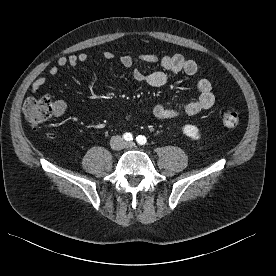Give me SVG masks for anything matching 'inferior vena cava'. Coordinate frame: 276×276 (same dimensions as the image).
<instances>
[{"instance_id":"inferior-vena-cava-1","label":"inferior vena cava","mask_w":276,"mask_h":276,"mask_svg":"<svg viewBox=\"0 0 276 276\" xmlns=\"http://www.w3.org/2000/svg\"><path fill=\"white\" fill-rule=\"evenodd\" d=\"M116 141H122V138L120 137V136H114V137H112V139H111V144H112V146H113V148L114 149H119V148H121V146L119 145V146H116L115 145V143H116Z\"/></svg>"}]
</instances>
